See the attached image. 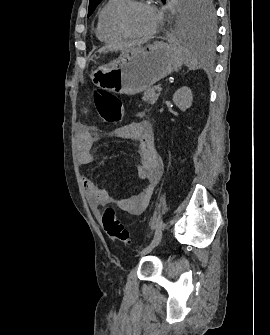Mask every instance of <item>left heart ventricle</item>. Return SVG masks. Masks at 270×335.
I'll return each mask as SVG.
<instances>
[{
  "label": "left heart ventricle",
  "instance_id": "left-heart-ventricle-1",
  "mask_svg": "<svg viewBox=\"0 0 270 335\" xmlns=\"http://www.w3.org/2000/svg\"><path fill=\"white\" fill-rule=\"evenodd\" d=\"M126 26L130 32L143 35L149 31L151 22L144 7L131 9L126 16Z\"/></svg>",
  "mask_w": 270,
  "mask_h": 335
}]
</instances>
